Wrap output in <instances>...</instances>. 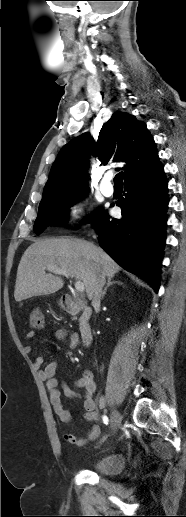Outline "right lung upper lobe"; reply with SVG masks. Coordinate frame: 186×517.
<instances>
[{"instance_id":"right-lung-upper-lobe-1","label":"right lung upper lobe","mask_w":186,"mask_h":517,"mask_svg":"<svg viewBox=\"0 0 186 517\" xmlns=\"http://www.w3.org/2000/svg\"><path fill=\"white\" fill-rule=\"evenodd\" d=\"M106 163L126 162L124 180L127 181L151 168L158 161V153L146 124L125 112H115L100 130L97 143L84 133L60 150L52 165L44 187L42 200L64 194L85 191L89 154Z\"/></svg>"}]
</instances>
